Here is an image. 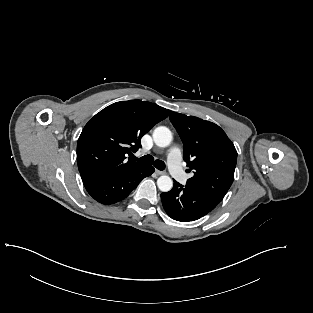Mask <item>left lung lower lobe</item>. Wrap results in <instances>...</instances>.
Segmentation results:
<instances>
[{"instance_id": "1", "label": "left lung lower lobe", "mask_w": 313, "mask_h": 313, "mask_svg": "<svg viewBox=\"0 0 313 313\" xmlns=\"http://www.w3.org/2000/svg\"><path fill=\"white\" fill-rule=\"evenodd\" d=\"M161 200L166 213L174 220H197L213 210L221 200L207 193L192 189L174 180L171 191L162 193Z\"/></svg>"}]
</instances>
